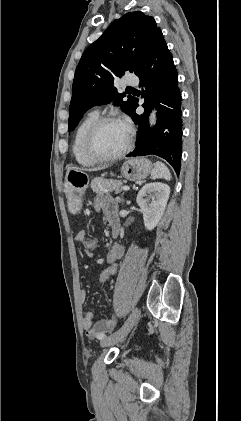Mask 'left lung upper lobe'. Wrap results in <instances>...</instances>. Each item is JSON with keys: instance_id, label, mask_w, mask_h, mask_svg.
<instances>
[{"instance_id": "1", "label": "left lung upper lobe", "mask_w": 241, "mask_h": 421, "mask_svg": "<svg viewBox=\"0 0 241 421\" xmlns=\"http://www.w3.org/2000/svg\"><path fill=\"white\" fill-rule=\"evenodd\" d=\"M153 17L129 12L115 20L83 53L75 71L69 107V130H74L92 106L114 102L131 115L136 98L118 93L114 79L126 71L137 73L156 35Z\"/></svg>"}]
</instances>
